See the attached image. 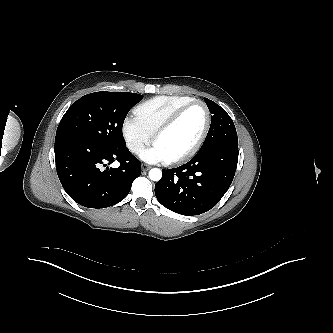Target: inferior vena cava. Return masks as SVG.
<instances>
[{
  "instance_id": "inferior-vena-cava-1",
  "label": "inferior vena cava",
  "mask_w": 333,
  "mask_h": 333,
  "mask_svg": "<svg viewBox=\"0 0 333 333\" xmlns=\"http://www.w3.org/2000/svg\"><path fill=\"white\" fill-rule=\"evenodd\" d=\"M133 152H138V151H140L141 150V145H139V144H136V145H134V147H133Z\"/></svg>"
}]
</instances>
